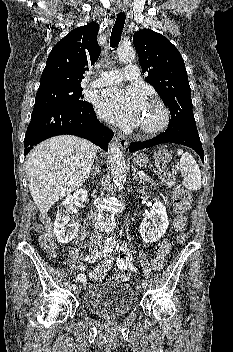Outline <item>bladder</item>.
<instances>
[{
  "mask_svg": "<svg viewBox=\"0 0 233 352\" xmlns=\"http://www.w3.org/2000/svg\"><path fill=\"white\" fill-rule=\"evenodd\" d=\"M135 303V292L127 285L115 281L91 285L83 296L84 308L100 315L126 314L134 308Z\"/></svg>",
  "mask_w": 233,
  "mask_h": 352,
  "instance_id": "1",
  "label": "bladder"
}]
</instances>
